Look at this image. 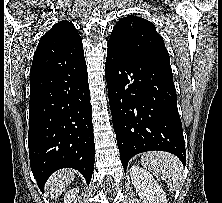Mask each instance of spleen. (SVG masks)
<instances>
[{"label":"spleen","instance_id":"obj_1","mask_svg":"<svg viewBox=\"0 0 222 203\" xmlns=\"http://www.w3.org/2000/svg\"><path fill=\"white\" fill-rule=\"evenodd\" d=\"M141 164L156 177L165 180L171 191L177 190L184 180V169L181 161L168 152L143 153Z\"/></svg>","mask_w":222,"mask_h":203}]
</instances>
